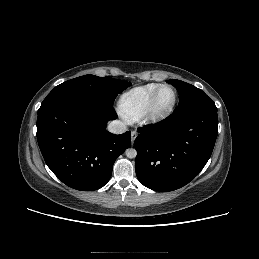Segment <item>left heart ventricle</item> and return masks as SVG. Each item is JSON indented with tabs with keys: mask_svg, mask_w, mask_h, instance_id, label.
<instances>
[{
	"mask_svg": "<svg viewBox=\"0 0 259 259\" xmlns=\"http://www.w3.org/2000/svg\"><path fill=\"white\" fill-rule=\"evenodd\" d=\"M172 99H173V92L168 88L163 89L158 96L157 107L159 109H164L168 107L172 102Z\"/></svg>",
	"mask_w": 259,
	"mask_h": 259,
	"instance_id": "obj_1",
	"label": "left heart ventricle"
}]
</instances>
